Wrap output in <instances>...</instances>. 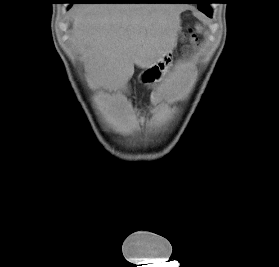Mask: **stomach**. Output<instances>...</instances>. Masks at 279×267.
I'll list each match as a JSON object with an SVG mask.
<instances>
[{"label": "stomach", "instance_id": "stomach-1", "mask_svg": "<svg viewBox=\"0 0 279 267\" xmlns=\"http://www.w3.org/2000/svg\"><path fill=\"white\" fill-rule=\"evenodd\" d=\"M172 61V52L167 53L152 66L144 69L138 76L140 83L149 85L159 81Z\"/></svg>", "mask_w": 279, "mask_h": 267}]
</instances>
